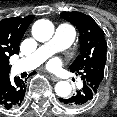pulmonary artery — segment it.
Wrapping results in <instances>:
<instances>
[{
	"instance_id": "obj_1",
	"label": "pulmonary artery",
	"mask_w": 117,
	"mask_h": 117,
	"mask_svg": "<svg viewBox=\"0 0 117 117\" xmlns=\"http://www.w3.org/2000/svg\"><path fill=\"white\" fill-rule=\"evenodd\" d=\"M74 39V28L67 23L59 24L55 30L54 36L48 42L40 46L31 55L20 59L16 63V71H27L36 68L53 53L71 46Z\"/></svg>"
}]
</instances>
